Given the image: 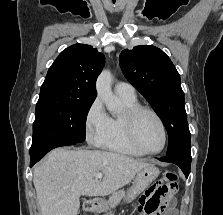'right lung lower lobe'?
Returning a JSON list of instances; mask_svg holds the SVG:
<instances>
[{"mask_svg":"<svg viewBox=\"0 0 223 215\" xmlns=\"http://www.w3.org/2000/svg\"><path fill=\"white\" fill-rule=\"evenodd\" d=\"M74 144H78V143H65V144L52 145V146L43 148L41 150L30 152V166L32 167L36 162H38L46 153H48L52 149L60 147V146H68V145H74Z\"/></svg>","mask_w":223,"mask_h":215,"instance_id":"right-lung-lower-lobe-1","label":"right lung lower lobe"}]
</instances>
